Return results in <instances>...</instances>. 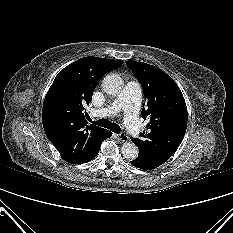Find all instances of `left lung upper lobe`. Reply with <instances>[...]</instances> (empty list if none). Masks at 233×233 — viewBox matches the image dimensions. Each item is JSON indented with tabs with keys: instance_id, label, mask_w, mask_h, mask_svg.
<instances>
[{
	"instance_id": "5c2ea615",
	"label": "left lung upper lobe",
	"mask_w": 233,
	"mask_h": 233,
	"mask_svg": "<svg viewBox=\"0 0 233 233\" xmlns=\"http://www.w3.org/2000/svg\"><path fill=\"white\" fill-rule=\"evenodd\" d=\"M144 90L141 116L148 120L142 139L131 138L139 154L160 165L177 150L186 132L187 107L175 81L161 69L143 62L126 61Z\"/></svg>"
}]
</instances>
